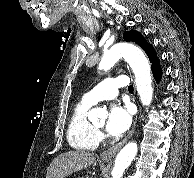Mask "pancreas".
I'll list each match as a JSON object with an SVG mask.
<instances>
[{
  "mask_svg": "<svg viewBox=\"0 0 194 178\" xmlns=\"http://www.w3.org/2000/svg\"><path fill=\"white\" fill-rule=\"evenodd\" d=\"M79 178H89L88 176H82V177H79Z\"/></svg>",
  "mask_w": 194,
  "mask_h": 178,
  "instance_id": "pancreas-1",
  "label": "pancreas"
}]
</instances>
